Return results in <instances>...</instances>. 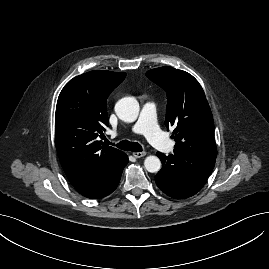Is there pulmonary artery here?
<instances>
[{
  "instance_id": "1",
  "label": "pulmonary artery",
  "mask_w": 269,
  "mask_h": 269,
  "mask_svg": "<svg viewBox=\"0 0 269 269\" xmlns=\"http://www.w3.org/2000/svg\"><path fill=\"white\" fill-rule=\"evenodd\" d=\"M131 131L142 134L148 142L157 149L171 152L174 142L171 141L158 127L156 122V107L153 103H145L138 120L132 125Z\"/></svg>"
}]
</instances>
